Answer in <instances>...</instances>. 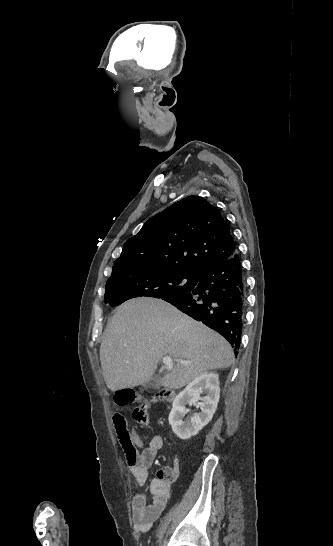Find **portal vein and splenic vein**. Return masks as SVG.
<instances>
[{"label": "portal vein and splenic vein", "instance_id": "1", "mask_svg": "<svg viewBox=\"0 0 333 546\" xmlns=\"http://www.w3.org/2000/svg\"><path fill=\"white\" fill-rule=\"evenodd\" d=\"M176 361L179 362V363H184V364L189 363V362L183 361V360H176ZM163 364H164L165 366L171 367V366L173 365V359H172V357H171V356H168V355H167V356H164V357H163Z\"/></svg>", "mask_w": 333, "mask_h": 546}]
</instances>
